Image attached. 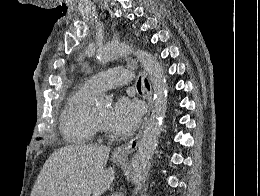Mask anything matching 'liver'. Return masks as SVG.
<instances>
[{"label":"liver","mask_w":260,"mask_h":196,"mask_svg":"<svg viewBox=\"0 0 260 196\" xmlns=\"http://www.w3.org/2000/svg\"><path fill=\"white\" fill-rule=\"evenodd\" d=\"M107 146H64L46 160L30 196H102L110 190L114 168H107Z\"/></svg>","instance_id":"1"}]
</instances>
